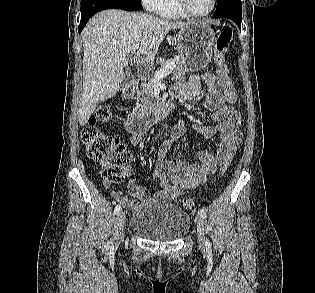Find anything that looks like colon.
<instances>
[{"instance_id": "colon-1", "label": "colon", "mask_w": 315, "mask_h": 293, "mask_svg": "<svg viewBox=\"0 0 315 293\" xmlns=\"http://www.w3.org/2000/svg\"><path fill=\"white\" fill-rule=\"evenodd\" d=\"M233 31L232 28L225 27L217 36L214 50V62L217 76L224 80L226 91L235 94L237 89L236 78H230L229 67L226 63V53L228 51ZM112 118L109 106H99L89 117L88 124L82 131V141L87 155L99 163L103 168V177L108 183H121L125 180L129 172V162L131 153L126 149L125 144L115 136L108 135L100 131L96 124L107 123ZM229 163L225 162L220 167V176L228 168ZM133 190H141L137 185H130V194ZM182 205L187 210H193L195 203L192 198L185 197Z\"/></svg>"}]
</instances>
